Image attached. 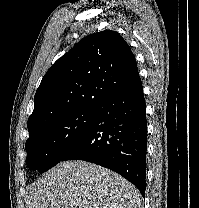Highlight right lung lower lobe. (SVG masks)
<instances>
[{
  "label": "right lung lower lobe",
  "instance_id": "right-lung-lower-lobe-1",
  "mask_svg": "<svg viewBox=\"0 0 199 208\" xmlns=\"http://www.w3.org/2000/svg\"><path fill=\"white\" fill-rule=\"evenodd\" d=\"M141 79L99 102L84 136L62 161L85 160L109 168L145 197L147 121Z\"/></svg>",
  "mask_w": 199,
  "mask_h": 208
}]
</instances>
